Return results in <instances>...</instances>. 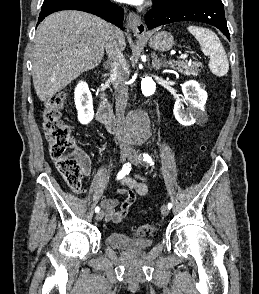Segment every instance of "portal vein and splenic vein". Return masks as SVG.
I'll use <instances>...</instances> for the list:
<instances>
[{
	"instance_id": "portal-vein-and-splenic-vein-1",
	"label": "portal vein and splenic vein",
	"mask_w": 259,
	"mask_h": 294,
	"mask_svg": "<svg viewBox=\"0 0 259 294\" xmlns=\"http://www.w3.org/2000/svg\"><path fill=\"white\" fill-rule=\"evenodd\" d=\"M187 57H188L187 54H183V55L180 56V59H186Z\"/></svg>"
}]
</instances>
